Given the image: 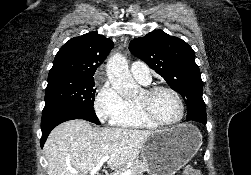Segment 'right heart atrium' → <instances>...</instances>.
<instances>
[{
  "mask_svg": "<svg viewBox=\"0 0 251 175\" xmlns=\"http://www.w3.org/2000/svg\"><path fill=\"white\" fill-rule=\"evenodd\" d=\"M98 84L99 89L93 101L94 111L102 122L118 124L127 113L128 103L102 75L98 78Z\"/></svg>",
  "mask_w": 251,
  "mask_h": 175,
  "instance_id": "1",
  "label": "right heart atrium"
}]
</instances>
